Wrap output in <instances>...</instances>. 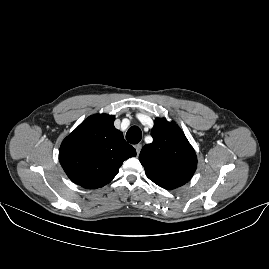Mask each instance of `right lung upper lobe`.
<instances>
[{
	"mask_svg": "<svg viewBox=\"0 0 269 269\" xmlns=\"http://www.w3.org/2000/svg\"><path fill=\"white\" fill-rule=\"evenodd\" d=\"M113 115L98 114L83 121L61 144L59 161L76 184L95 189L108 184L135 149L114 127Z\"/></svg>",
	"mask_w": 269,
	"mask_h": 269,
	"instance_id": "1",
	"label": "right lung upper lobe"
}]
</instances>
